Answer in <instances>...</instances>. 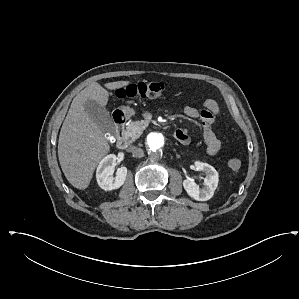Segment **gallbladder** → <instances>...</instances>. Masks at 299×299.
<instances>
[{
  "instance_id": "bac80fb5",
  "label": "gallbladder",
  "mask_w": 299,
  "mask_h": 299,
  "mask_svg": "<svg viewBox=\"0 0 299 299\" xmlns=\"http://www.w3.org/2000/svg\"><path fill=\"white\" fill-rule=\"evenodd\" d=\"M85 110L104 133L114 131V123L105 107L95 101L87 100Z\"/></svg>"
}]
</instances>
